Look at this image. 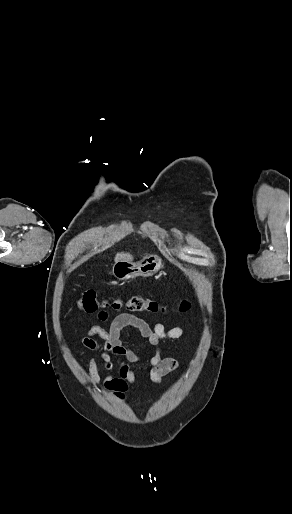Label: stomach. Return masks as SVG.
Returning <instances> with one entry per match:
<instances>
[{
	"instance_id": "1",
	"label": "stomach",
	"mask_w": 292,
	"mask_h": 514,
	"mask_svg": "<svg viewBox=\"0 0 292 514\" xmlns=\"http://www.w3.org/2000/svg\"><path fill=\"white\" fill-rule=\"evenodd\" d=\"M162 260L158 256H145L141 262H130V260H119L112 268V274L117 280H131L137 276H154L159 272Z\"/></svg>"
}]
</instances>
